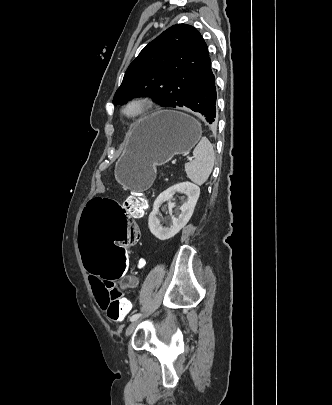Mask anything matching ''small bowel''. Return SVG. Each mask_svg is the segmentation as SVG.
Masks as SVG:
<instances>
[{
    "instance_id": "obj_1",
    "label": "small bowel",
    "mask_w": 332,
    "mask_h": 405,
    "mask_svg": "<svg viewBox=\"0 0 332 405\" xmlns=\"http://www.w3.org/2000/svg\"><path fill=\"white\" fill-rule=\"evenodd\" d=\"M136 215H138V214L132 213V218L137 217ZM132 220H134V219H132ZM136 227H138V224L136 225ZM139 237L140 236H138V240H139ZM102 279H103V277L101 278V277H98L97 275L90 276V282L92 285L95 299H96L97 303L99 304V306L102 309H105V303H106L107 296H106V292L100 288V280H102ZM138 282H139L138 278L134 275L125 276L119 283V289L124 290L127 288H135L138 285ZM129 307H130V304H129Z\"/></svg>"
}]
</instances>
